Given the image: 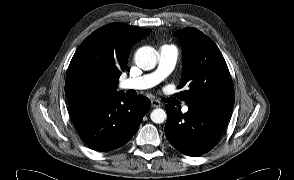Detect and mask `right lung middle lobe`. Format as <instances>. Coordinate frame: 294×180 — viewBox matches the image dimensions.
Wrapping results in <instances>:
<instances>
[{
  "label": "right lung middle lobe",
  "mask_w": 294,
  "mask_h": 180,
  "mask_svg": "<svg viewBox=\"0 0 294 180\" xmlns=\"http://www.w3.org/2000/svg\"><path fill=\"white\" fill-rule=\"evenodd\" d=\"M95 76L93 74H86L82 79V86L84 88H92L95 84Z\"/></svg>",
  "instance_id": "dd1d6c3e"
}]
</instances>
